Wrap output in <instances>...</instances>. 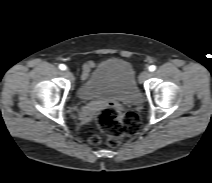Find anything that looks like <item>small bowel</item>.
<instances>
[{
	"mask_svg": "<svg viewBox=\"0 0 212 183\" xmlns=\"http://www.w3.org/2000/svg\"><path fill=\"white\" fill-rule=\"evenodd\" d=\"M94 67L93 62H87L83 66V79H86L91 69Z\"/></svg>",
	"mask_w": 212,
	"mask_h": 183,
	"instance_id": "obj_1",
	"label": "small bowel"
}]
</instances>
